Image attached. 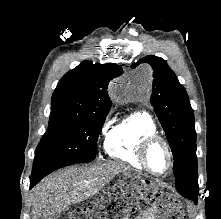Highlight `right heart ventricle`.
<instances>
[{
  "instance_id": "obj_1",
  "label": "right heart ventricle",
  "mask_w": 221,
  "mask_h": 219,
  "mask_svg": "<svg viewBox=\"0 0 221 219\" xmlns=\"http://www.w3.org/2000/svg\"><path fill=\"white\" fill-rule=\"evenodd\" d=\"M151 134H157V127L151 115L142 111L127 114L107 132L104 141L105 153L110 159L145 170L137 150L140 141Z\"/></svg>"
}]
</instances>
